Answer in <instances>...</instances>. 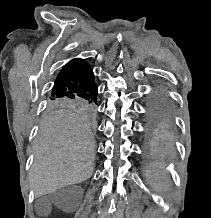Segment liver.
<instances>
[{"label": "liver", "instance_id": "6515ba94", "mask_svg": "<svg viewBox=\"0 0 211 218\" xmlns=\"http://www.w3.org/2000/svg\"><path fill=\"white\" fill-rule=\"evenodd\" d=\"M35 162L29 176L36 198L92 176L95 142L77 114L52 112L35 140Z\"/></svg>", "mask_w": 211, "mask_h": 218}]
</instances>
